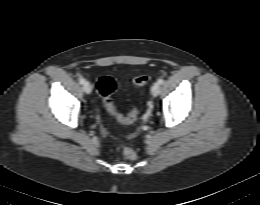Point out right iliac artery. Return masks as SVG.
Masks as SVG:
<instances>
[{
    "label": "right iliac artery",
    "instance_id": "obj_1",
    "mask_svg": "<svg viewBox=\"0 0 260 205\" xmlns=\"http://www.w3.org/2000/svg\"><path fill=\"white\" fill-rule=\"evenodd\" d=\"M78 80H79V83H80V84H84V83H85V79L82 78V77H80Z\"/></svg>",
    "mask_w": 260,
    "mask_h": 205
}]
</instances>
